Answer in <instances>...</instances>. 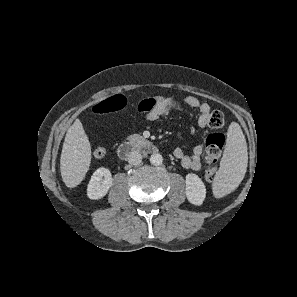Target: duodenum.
<instances>
[{
    "label": "duodenum",
    "instance_id": "410a0bca",
    "mask_svg": "<svg viewBox=\"0 0 297 297\" xmlns=\"http://www.w3.org/2000/svg\"><path fill=\"white\" fill-rule=\"evenodd\" d=\"M156 151L155 145L146 140L138 139L136 141H125L119 145L117 153L120 159L127 160L135 152L154 153Z\"/></svg>",
    "mask_w": 297,
    "mask_h": 297
}]
</instances>
